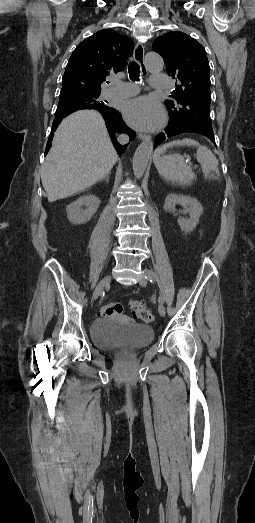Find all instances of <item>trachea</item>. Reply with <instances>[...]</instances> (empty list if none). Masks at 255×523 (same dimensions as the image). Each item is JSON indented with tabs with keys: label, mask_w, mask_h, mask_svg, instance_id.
Masks as SVG:
<instances>
[{
	"label": "trachea",
	"mask_w": 255,
	"mask_h": 523,
	"mask_svg": "<svg viewBox=\"0 0 255 523\" xmlns=\"http://www.w3.org/2000/svg\"><path fill=\"white\" fill-rule=\"evenodd\" d=\"M128 73H129V78L131 80H133L134 82L139 80V74H140L139 65L135 62H130L129 67H128Z\"/></svg>",
	"instance_id": "1"
}]
</instances>
